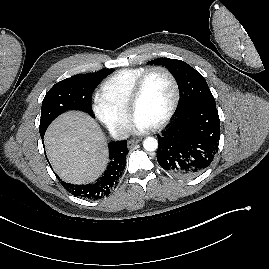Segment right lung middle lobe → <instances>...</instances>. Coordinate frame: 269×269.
<instances>
[{"label": "right lung middle lobe", "instance_id": "obj_1", "mask_svg": "<svg viewBox=\"0 0 269 269\" xmlns=\"http://www.w3.org/2000/svg\"><path fill=\"white\" fill-rule=\"evenodd\" d=\"M113 69L90 74H79L56 83L46 94L42 107L39 131L44 133L49 124L61 113L68 110H81L93 116L91 97L96 86Z\"/></svg>", "mask_w": 269, "mask_h": 269}]
</instances>
